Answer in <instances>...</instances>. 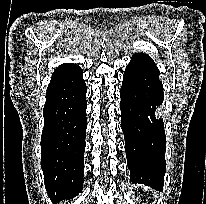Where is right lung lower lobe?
Returning <instances> with one entry per match:
<instances>
[{"label":"right lung lower lobe","mask_w":206,"mask_h":204,"mask_svg":"<svg viewBox=\"0 0 206 204\" xmlns=\"http://www.w3.org/2000/svg\"><path fill=\"white\" fill-rule=\"evenodd\" d=\"M86 92L79 66L63 64L52 74L43 110L41 167L54 202L74 197L83 188Z\"/></svg>","instance_id":"right-lung-lower-lobe-1"}]
</instances>
